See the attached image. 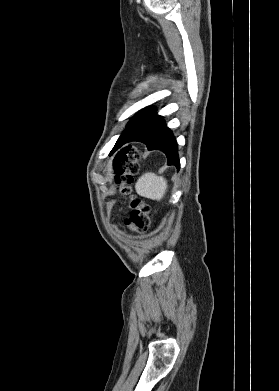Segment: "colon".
I'll use <instances>...</instances> for the list:
<instances>
[{"label": "colon", "mask_w": 279, "mask_h": 391, "mask_svg": "<svg viewBox=\"0 0 279 391\" xmlns=\"http://www.w3.org/2000/svg\"><path fill=\"white\" fill-rule=\"evenodd\" d=\"M139 153L132 147L124 148L114 159L115 182L124 195H129L128 184L132 175L137 171ZM131 212L125 220V225L137 234L147 232L149 228L150 207L138 198H130Z\"/></svg>", "instance_id": "obj_1"}]
</instances>
